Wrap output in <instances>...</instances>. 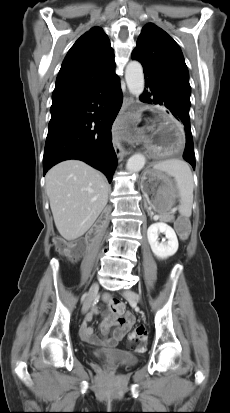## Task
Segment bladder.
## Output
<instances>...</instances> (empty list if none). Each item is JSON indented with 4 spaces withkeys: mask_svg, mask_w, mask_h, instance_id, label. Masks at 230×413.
I'll list each match as a JSON object with an SVG mask.
<instances>
[{
    "mask_svg": "<svg viewBox=\"0 0 230 413\" xmlns=\"http://www.w3.org/2000/svg\"><path fill=\"white\" fill-rule=\"evenodd\" d=\"M106 353L112 356L117 367H129L134 366L138 363V357L130 353L117 350L108 351ZM102 354L103 352L101 351L96 352L95 356L100 357Z\"/></svg>",
    "mask_w": 230,
    "mask_h": 413,
    "instance_id": "31cf9c89",
    "label": "bladder"
}]
</instances>
